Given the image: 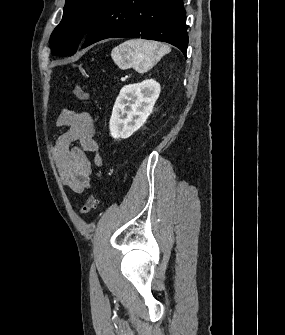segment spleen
<instances>
[{
  "label": "spleen",
  "mask_w": 285,
  "mask_h": 335,
  "mask_svg": "<svg viewBox=\"0 0 285 335\" xmlns=\"http://www.w3.org/2000/svg\"><path fill=\"white\" fill-rule=\"evenodd\" d=\"M171 52L169 46L151 40H127L111 52L115 64L126 70L135 68L137 72L150 70L165 54Z\"/></svg>",
  "instance_id": "spleen-1"
}]
</instances>
